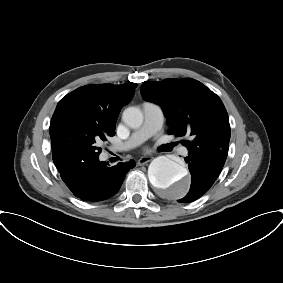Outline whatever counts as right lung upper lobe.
Masks as SVG:
<instances>
[{
  "label": "right lung upper lobe",
  "instance_id": "obj_1",
  "mask_svg": "<svg viewBox=\"0 0 283 283\" xmlns=\"http://www.w3.org/2000/svg\"><path fill=\"white\" fill-rule=\"evenodd\" d=\"M136 87V83L86 85L59 101L49 129L52 157L58 169L67 164L62 162L67 122L70 119L92 122L103 130L115 134V124L120 110L131 101Z\"/></svg>",
  "mask_w": 283,
  "mask_h": 283
}]
</instances>
